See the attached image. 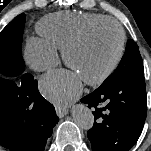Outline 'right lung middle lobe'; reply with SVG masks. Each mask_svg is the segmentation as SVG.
Returning <instances> with one entry per match:
<instances>
[{
    "label": "right lung middle lobe",
    "instance_id": "1",
    "mask_svg": "<svg viewBox=\"0 0 151 151\" xmlns=\"http://www.w3.org/2000/svg\"><path fill=\"white\" fill-rule=\"evenodd\" d=\"M25 24V15L15 17L0 33V74L6 77L21 75L25 69L21 44ZM4 107L0 103V108Z\"/></svg>",
    "mask_w": 151,
    "mask_h": 151
}]
</instances>
